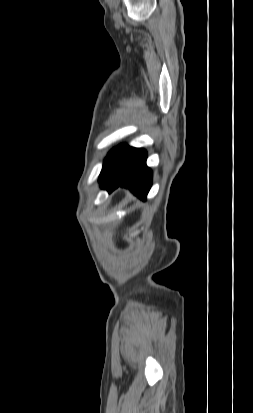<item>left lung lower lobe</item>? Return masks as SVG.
Returning <instances> with one entry per match:
<instances>
[{
	"instance_id": "0a47b994",
	"label": "left lung lower lobe",
	"mask_w": 253,
	"mask_h": 413,
	"mask_svg": "<svg viewBox=\"0 0 253 413\" xmlns=\"http://www.w3.org/2000/svg\"><path fill=\"white\" fill-rule=\"evenodd\" d=\"M146 158L144 149L124 144L117 146L103 165L100 187L109 192L119 186L126 187L137 197L145 199L152 185V172L146 166Z\"/></svg>"
}]
</instances>
